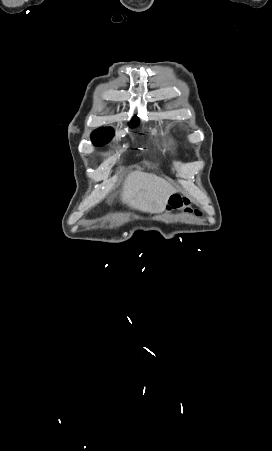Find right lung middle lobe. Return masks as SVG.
I'll return each instance as SVG.
<instances>
[{"mask_svg":"<svg viewBox=\"0 0 272 451\" xmlns=\"http://www.w3.org/2000/svg\"><path fill=\"white\" fill-rule=\"evenodd\" d=\"M138 124L139 120L136 117H134L130 123V127H135ZM112 136H113L112 128H99L91 134V139L96 146H103L111 140Z\"/></svg>","mask_w":272,"mask_h":451,"instance_id":"obj_1","label":"right lung middle lobe"}]
</instances>
